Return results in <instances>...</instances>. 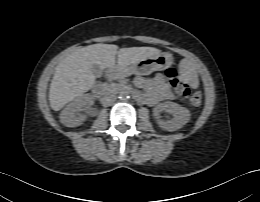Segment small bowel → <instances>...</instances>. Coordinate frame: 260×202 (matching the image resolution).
I'll use <instances>...</instances> for the list:
<instances>
[{"label":"small bowel","instance_id":"c3829d8e","mask_svg":"<svg viewBox=\"0 0 260 202\" xmlns=\"http://www.w3.org/2000/svg\"><path fill=\"white\" fill-rule=\"evenodd\" d=\"M136 84L145 90V94L136 93V97L149 105H155L173 98L170 87L165 82L163 74L158 73L152 78L138 77Z\"/></svg>","mask_w":260,"mask_h":202}]
</instances>
